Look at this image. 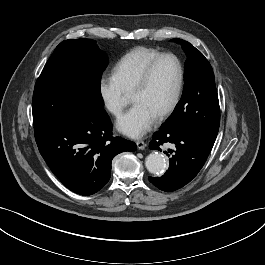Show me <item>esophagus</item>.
<instances>
[{
  "instance_id": "obj_1",
  "label": "esophagus",
  "mask_w": 265,
  "mask_h": 265,
  "mask_svg": "<svg viewBox=\"0 0 265 265\" xmlns=\"http://www.w3.org/2000/svg\"><path fill=\"white\" fill-rule=\"evenodd\" d=\"M136 145H137L138 149H140V150H144L145 147H146L145 142L142 141V140L137 141V142H136Z\"/></svg>"
}]
</instances>
